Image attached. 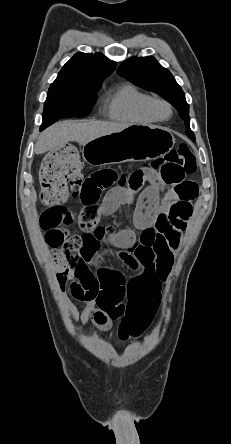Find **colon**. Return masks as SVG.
Returning <instances> with one entry per match:
<instances>
[{
  "label": "colon",
  "instance_id": "5ec220e1",
  "mask_svg": "<svg viewBox=\"0 0 231 444\" xmlns=\"http://www.w3.org/2000/svg\"><path fill=\"white\" fill-rule=\"evenodd\" d=\"M195 170L196 160L193 152L187 144H181L164 157L122 175L119 184L130 185L152 172L157 174L165 184L179 189L187 182L186 176L194 173ZM39 180L40 199L46 206L40 217L41 227L46 231L70 227L74 223V216L68 208L63 206V202L68 197L69 191L74 196H79L85 182L77 149L69 145L46 154L41 164ZM191 213L192 207L183 202L177 203L172 208L174 219L180 217L186 221ZM184 227L185 225L181 224L183 230ZM64 256L71 270L80 269L83 266V259L77 252L65 250ZM70 290L73 296L77 298L81 296V286L77 281H70ZM159 302L160 286L155 283L150 284L138 295L132 296L121 320L119 338L125 340L141 334L152 321Z\"/></svg>",
  "mask_w": 231,
  "mask_h": 444
}]
</instances>
